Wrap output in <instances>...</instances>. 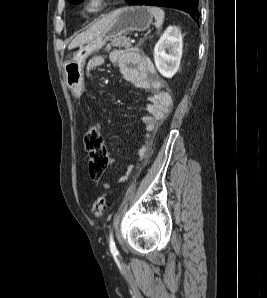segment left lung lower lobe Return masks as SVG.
<instances>
[{"label": "left lung lower lobe", "instance_id": "obj_1", "mask_svg": "<svg viewBox=\"0 0 267 298\" xmlns=\"http://www.w3.org/2000/svg\"><path fill=\"white\" fill-rule=\"evenodd\" d=\"M129 5L164 6L185 11L198 23V0H127Z\"/></svg>", "mask_w": 267, "mask_h": 298}]
</instances>
